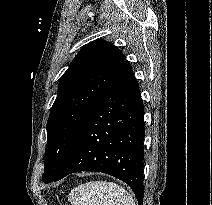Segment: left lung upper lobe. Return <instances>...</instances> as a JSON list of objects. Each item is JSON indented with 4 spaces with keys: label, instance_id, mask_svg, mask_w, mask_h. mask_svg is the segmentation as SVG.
<instances>
[{
    "label": "left lung upper lobe",
    "instance_id": "5c2ea615",
    "mask_svg": "<svg viewBox=\"0 0 212 205\" xmlns=\"http://www.w3.org/2000/svg\"><path fill=\"white\" fill-rule=\"evenodd\" d=\"M123 60L116 46L103 40L92 41L80 50L61 77L46 126L42 176L45 183L58 176L86 117L110 85Z\"/></svg>",
    "mask_w": 212,
    "mask_h": 205
}]
</instances>
